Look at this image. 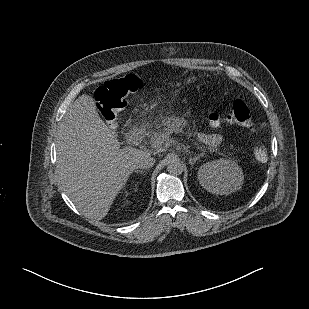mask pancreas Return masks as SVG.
Listing matches in <instances>:
<instances>
[{
	"mask_svg": "<svg viewBox=\"0 0 309 309\" xmlns=\"http://www.w3.org/2000/svg\"><path fill=\"white\" fill-rule=\"evenodd\" d=\"M171 129H163L162 131H151L148 135L150 143H153L156 140L167 141L171 134Z\"/></svg>",
	"mask_w": 309,
	"mask_h": 309,
	"instance_id": "obj_1",
	"label": "pancreas"
}]
</instances>
